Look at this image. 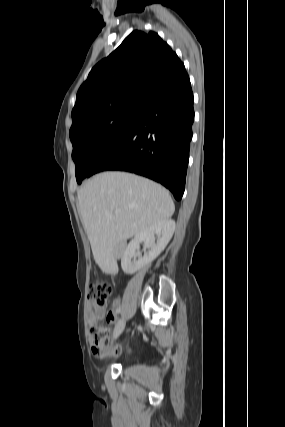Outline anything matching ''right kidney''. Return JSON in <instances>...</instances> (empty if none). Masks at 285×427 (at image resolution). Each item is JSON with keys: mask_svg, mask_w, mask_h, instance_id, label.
Instances as JSON below:
<instances>
[{"mask_svg": "<svg viewBox=\"0 0 285 427\" xmlns=\"http://www.w3.org/2000/svg\"><path fill=\"white\" fill-rule=\"evenodd\" d=\"M175 230V221L167 219L148 227L136 235L126 247L121 259V267L126 274H133L148 266L165 249ZM155 235L158 236L157 240ZM140 243L148 252L141 256ZM138 258V259H136Z\"/></svg>", "mask_w": 285, "mask_h": 427, "instance_id": "right-kidney-1", "label": "right kidney"}]
</instances>
